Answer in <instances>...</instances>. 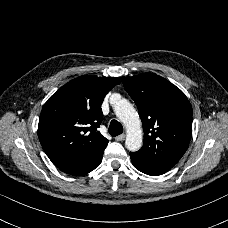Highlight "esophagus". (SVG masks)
Segmentation results:
<instances>
[{"label": "esophagus", "instance_id": "esophagus-1", "mask_svg": "<svg viewBox=\"0 0 228 228\" xmlns=\"http://www.w3.org/2000/svg\"><path fill=\"white\" fill-rule=\"evenodd\" d=\"M125 139V134H120L117 137H115L116 141H123Z\"/></svg>", "mask_w": 228, "mask_h": 228}]
</instances>
